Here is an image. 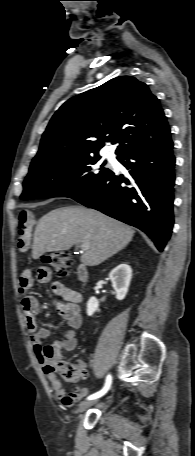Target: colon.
I'll return each instance as SVG.
<instances>
[{"instance_id":"1","label":"colon","mask_w":195,"mask_h":456,"mask_svg":"<svg viewBox=\"0 0 195 456\" xmlns=\"http://www.w3.org/2000/svg\"><path fill=\"white\" fill-rule=\"evenodd\" d=\"M42 261L51 266L58 276H67L71 272L72 256L66 251L51 252L42 257ZM49 353L50 351L47 350ZM46 372L57 373L67 382H76L84 371L76 364L67 360H57L47 364Z\"/></svg>"}]
</instances>
